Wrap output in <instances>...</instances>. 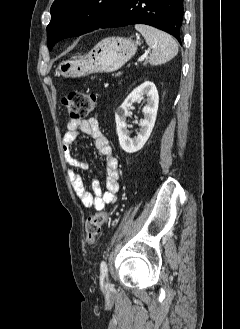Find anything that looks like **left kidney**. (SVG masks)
Returning a JSON list of instances; mask_svg holds the SVG:
<instances>
[{"label": "left kidney", "instance_id": "5707ae66", "mask_svg": "<svg viewBox=\"0 0 240 329\" xmlns=\"http://www.w3.org/2000/svg\"><path fill=\"white\" fill-rule=\"evenodd\" d=\"M143 96H147V105L142 110L144 119L139 123L141 129L137 137L130 138L127 130L126 118L130 115L129 110L132 104L139 101ZM158 103L159 96L155 84L146 81L135 88L117 109L115 113L116 130L120 146L125 152L134 153L144 146L156 121Z\"/></svg>", "mask_w": 240, "mask_h": 329}]
</instances>
